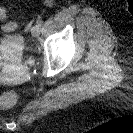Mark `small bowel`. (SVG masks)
<instances>
[{
	"label": "small bowel",
	"instance_id": "c3829d8e",
	"mask_svg": "<svg viewBox=\"0 0 133 133\" xmlns=\"http://www.w3.org/2000/svg\"><path fill=\"white\" fill-rule=\"evenodd\" d=\"M3 29L6 30V31H12V30H14V29H10V28L8 27V24L4 25V26H3Z\"/></svg>",
	"mask_w": 133,
	"mask_h": 133
}]
</instances>
